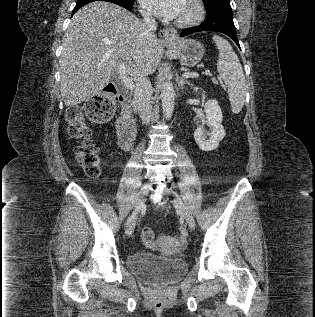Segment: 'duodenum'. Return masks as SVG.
Returning a JSON list of instances; mask_svg holds the SVG:
<instances>
[{
	"label": "duodenum",
	"instance_id": "duodenum-1",
	"mask_svg": "<svg viewBox=\"0 0 315 317\" xmlns=\"http://www.w3.org/2000/svg\"><path fill=\"white\" fill-rule=\"evenodd\" d=\"M118 92V100L121 111L116 119L115 126L121 147L129 150L136 135V125L132 115L133 102L129 93L125 90L122 81L116 77L114 80Z\"/></svg>",
	"mask_w": 315,
	"mask_h": 317
}]
</instances>
